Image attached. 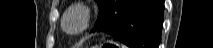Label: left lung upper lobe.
Listing matches in <instances>:
<instances>
[{
    "label": "left lung upper lobe",
    "mask_w": 213,
    "mask_h": 48,
    "mask_svg": "<svg viewBox=\"0 0 213 48\" xmlns=\"http://www.w3.org/2000/svg\"><path fill=\"white\" fill-rule=\"evenodd\" d=\"M99 6V15L102 13V11L107 7L110 0H96Z\"/></svg>",
    "instance_id": "left-lung-upper-lobe-1"
}]
</instances>
